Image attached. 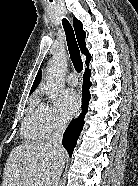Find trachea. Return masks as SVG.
Returning a JSON list of instances; mask_svg holds the SVG:
<instances>
[{
  "instance_id": "3493384b",
  "label": "trachea",
  "mask_w": 138,
  "mask_h": 186,
  "mask_svg": "<svg viewBox=\"0 0 138 186\" xmlns=\"http://www.w3.org/2000/svg\"><path fill=\"white\" fill-rule=\"evenodd\" d=\"M62 25L65 30L67 46L70 53L71 61L76 71L81 72L83 69V62L81 59L79 47L75 38L73 28L66 18L63 19Z\"/></svg>"
}]
</instances>
